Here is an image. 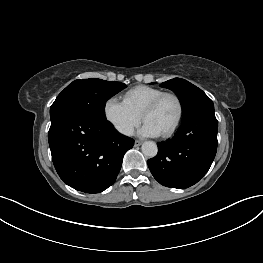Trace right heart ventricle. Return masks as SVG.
I'll return each mask as SVG.
<instances>
[{"label": "right heart ventricle", "instance_id": "obj_1", "mask_svg": "<svg viewBox=\"0 0 263 263\" xmlns=\"http://www.w3.org/2000/svg\"><path fill=\"white\" fill-rule=\"evenodd\" d=\"M162 93V89L140 85L128 90L123 96V101L141 116L144 107Z\"/></svg>", "mask_w": 263, "mask_h": 263}]
</instances>
